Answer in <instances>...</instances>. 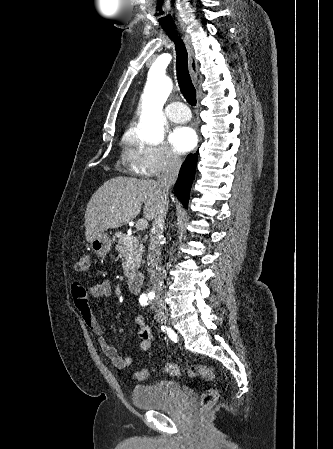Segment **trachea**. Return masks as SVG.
I'll list each match as a JSON object with an SVG mask.
<instances>
[{
	"label": "trachea",
	"mask_w": 333,
	"mask_h": 449,
	"mask_svg": "<svg viewBox=\"0 0 333 449\" xmlns=\"http://www.w3.org/2000/svg\"><path fill=\"white\" fill-rule=\"evenodd\" d=\"M163 29L175 45L177 80L181 93L190 105L195 106L197 103L196 90L188 70V52L185 43L175 27H164Z\"/></svg>",
	"instance_id": "1"
}]
</instances>
